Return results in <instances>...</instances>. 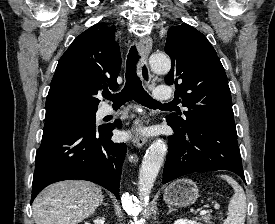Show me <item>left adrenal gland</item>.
I'll return each instance as SVG.
<instances>
[{
  "label": "left adrenal gland",
  "mask_w": 275,
  "mask_h": 224,
  "mask_svg": "<svg viewBox=\"0 0 275 224\" xmlns=\"http://www.w3.org/2000/svg\"><path fill=\"white\" fill-rule=\"evenodd\" d=\"M172 211H176V210L169 206V211L167 214L171 213Z\"/></svg>",
  "instance_id": "a2214340"
}]
</instances>
